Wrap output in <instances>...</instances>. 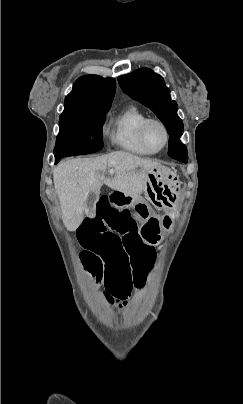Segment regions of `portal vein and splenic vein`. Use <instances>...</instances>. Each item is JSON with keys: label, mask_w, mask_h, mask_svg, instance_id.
Returning <instances> with one entry per match:
<instances>
[{"label": "portal vein and splenic vein", "mask_w": 243, "mask_h": 404, "mask_svg": "<svg viewBox=\"0 0 243 404\" xmlns=\"http://www.w3.org/2000/svg\"><path fill=\"white\" fill-rule=\"evenodd\" d=\"M109 172H110L111 176H112V174H114V170H109Z\"/></svg>", "instance_id": "portal-vein-and-splenic-vein-1"}]
</instances>
